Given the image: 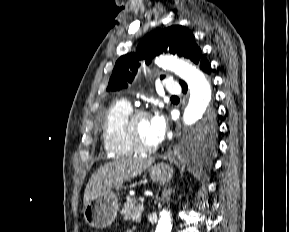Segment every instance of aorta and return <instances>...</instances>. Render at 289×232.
<instances>
[{
  "instance_id": "1",
  "label": "aorta",
  "mask_w": 289,
  "mask_h": 232,
  "mask_svg": "<svg viewBox=\"0 0 289 232\" xmlns=\"http://www.w3.org/2000/svg\"><path fill=\"white\" fill-rule=\"evenodd\" d=\"M155 62L164 70L174 72L188 84L190 99L183 115L185 125H193L201 119H207L213 114L209 109L212 94L211 86L200 70L174 57L162 56L157 58ZM171 230L172 221L170 213L163 210L160 213L155 232H171Z\"/></svg>"
}]
</instances>
